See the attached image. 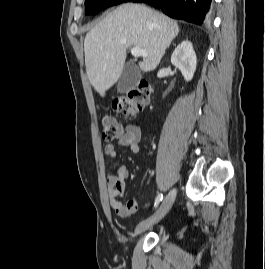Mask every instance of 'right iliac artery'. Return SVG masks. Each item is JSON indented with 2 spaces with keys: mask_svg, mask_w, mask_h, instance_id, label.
<instances>
[{
  "mask_svg": "<svg viewBox=\"0 0 265 269\" xmlns=\"http://www.w3.org/2000/svg\"><path fill=\"white\" fill-rule=\"evenodd\" d=\"M163 199V194L160 193L158 194V196L156 197V200H155V207H157L159 205V203L162 201Z\"/></svg>",
  "mask_w": 265,
  "mask_h": 269,
  "instance_id": "82829eb1",
  "label": "right iliac artery"
}]
</instances>
